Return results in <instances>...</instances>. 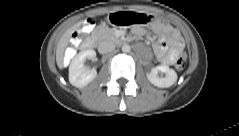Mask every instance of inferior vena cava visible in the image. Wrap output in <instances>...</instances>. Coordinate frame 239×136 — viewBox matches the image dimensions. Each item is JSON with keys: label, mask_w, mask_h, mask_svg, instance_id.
<instances>
[{"label": "inferior vena cava", "mask_w": 239, "mask_h": 136, "mask_svg": "<svg viewBox=\"0 0 239 136\" xmlns=\"http://www.w3.org/2000/svg\"><path fill=\"white\" fill-rule=\"evenodd\" d=\"M115 49V44L110 40L102 41L98 46V52L106 54L112 52Z\"/></svg>", "instance_id": "602c4592"}]
</instances>
